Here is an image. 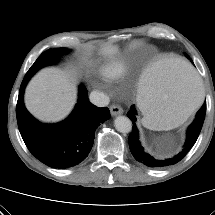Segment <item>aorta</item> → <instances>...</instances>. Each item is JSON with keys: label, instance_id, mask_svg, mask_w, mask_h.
Returning <instances> with one entry per match:
<instances>
[{"label": "aorta", "instance_id": "762f6f07", "mask_svg": "<svg viewBox=\"0 0 215 215\" xmlns=\"http://www.w3.org/2000/svg\"><path fill=\"white\" fill-rule=\"evenodd\" d=\"M114 126L120 133H129L132 130V122L126 116H117L114 120Z\"/></svg>", "mask_w": 215, "mask_h": 215}]
</instances>
